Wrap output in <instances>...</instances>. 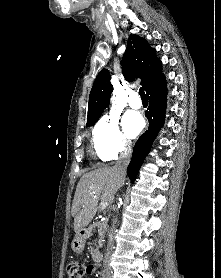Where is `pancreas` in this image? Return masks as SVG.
Instances as JSON below:
<instances>
[{
  "instance_id": "pancreas-1",
  "label": "pancreas",
  "mask_w": 221,
  "mask_h": 278,
  "mask_svg": "<svg viewBox=\"0 0 221 278\" xmlns=\"http://www.w3.org/2000/svg\"><path fill=\"white\" fill-rule=\"evenodd\" d=\"M92 227L96 228L97 233L99 234V240L102 241L103 233L105 229V224L103 222H92Z\"/></svg>"
}]
</instances>
